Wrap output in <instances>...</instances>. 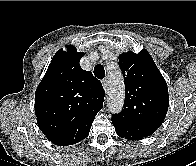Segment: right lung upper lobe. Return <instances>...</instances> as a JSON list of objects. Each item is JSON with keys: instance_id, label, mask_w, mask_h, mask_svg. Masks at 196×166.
Returning <instances> with one entry per match:
<instances>
[{"instance_id": "1", "label": "right lung upper lobe", "mask_w": 196, "mask_h": 166, "mask_svg": "<svg viewBox=\"0 0 196 166\" xmlns=\"http://www.w3.org/2000/svg\"><path fill=\"white\" fill-rule=\"evenodd\" d=\"M83 52L72 46L54 55L35 93L40 130L54 144H76L89 135L105 92L90 71L79 66Z\"/></svg>"}]
</instances>
